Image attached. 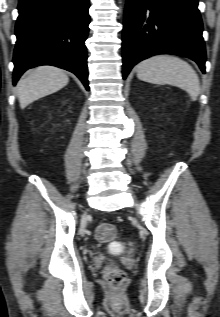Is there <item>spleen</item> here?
<instances>
[{"label":"spleen","mask_w":220,"mask_h":317,"mask_svg":"<svg viewBox=\"0 0 220 317\" xmlns=\"http://www.w3.org/2000/svg\"><path fill=\"white\" fill-rule=\"evenodd\" d=\"M137 77L154 84H170L187 91L195 100L200 93L197 73L186 61L167 54L152 56L136 66Z\"/></svg>","instance_id":"obj_1"}]
</instances>
